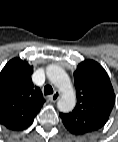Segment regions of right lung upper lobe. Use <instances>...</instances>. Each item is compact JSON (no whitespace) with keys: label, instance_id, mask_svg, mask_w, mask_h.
<instances>
[{"label":"right lung upper lobe","instance_id":"cb5924a9","mask_svg":"<svg viewBox=\"0 0 118 142\" xmlns=\"http://www.w3.org/2000/svg\"><path fill=\"white\" fill-rule=\"evenodd\" d=\"M33 66L20 58L0 72V124L14 131L28 128L45 100L31 81Z\"/></svg>","mask_w":118,"mask_h":142}]
</instances>
